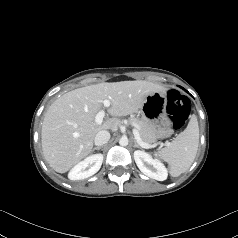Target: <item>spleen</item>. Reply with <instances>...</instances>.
<instances>
[{"label": "spleen", "mask_w": 238, "mask_h": 238, "mask_svg": "<svg viewBox=\"0 0 238 238\" xmlns=\"http://www.w3.org/2000/svg\"><path fill=\"white\" fill-rule=\"evenodd\" d=\"M199 144V126L195 115H192L187 128L166 147L155 153V156L169 165V173L177 177L192 165Z\"/></svg>", "instance_id": "1"}]
</instances>
